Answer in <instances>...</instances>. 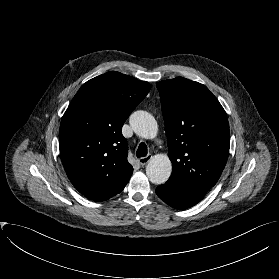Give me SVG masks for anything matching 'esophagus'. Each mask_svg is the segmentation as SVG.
<instances>
[{
	"instance_id": "1",
	"label": "esophagus",
	"mask_w": 279,
	"mask_h": 279,
	"mask_svg": "<svg viewBox=\"0 0 279 279\" xmlns=\"http://www.w3.org/2000/svg\"><path fill=\"white\" fill-rule=\"evenodd\" d=\"M152 159V155H147L145 157L139 158L138 162L143 166L146 165Z\"/></svg>"
}]
</instances>
